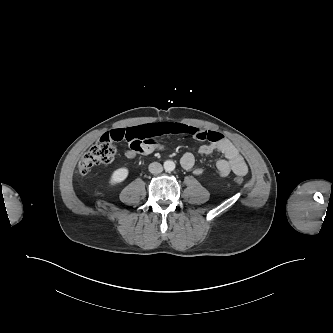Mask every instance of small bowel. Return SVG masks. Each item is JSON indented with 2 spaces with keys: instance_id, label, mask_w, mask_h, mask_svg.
I'll list each match as a JSON object with an SVG mask.
<instances>
[{
  "instance_id": "obj_1",
  "label": "small bowel",
  "mask_w": 333,
  "mask_h": 333,
  "mask_svg": "<svg viewBox=\"0 0 333 333\" xmlns=\"http://www.w3.org/2000/svg\"><path fill=\"white\" fill-rule=\"evenodd\" d=\"M165 134H187L196 139L206 141L200 145L198 152L209 155L214 152L221 153L224 158L216 163L218 173L225 177L230 173L244 176L248 172V166L235 145L221 133L189 126L182 123L158 122L144 125L118 128L103 135L111 141H126L129 149L125 151L128 158H134L137 154H148L160 148L157 136ZM181 165L186 170H192L195 174H202L203 169L195 167V157L187 152L181 157Z\"/></svg>"
}]
</instances>
